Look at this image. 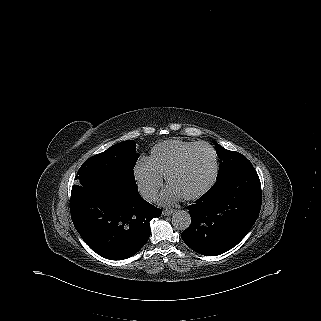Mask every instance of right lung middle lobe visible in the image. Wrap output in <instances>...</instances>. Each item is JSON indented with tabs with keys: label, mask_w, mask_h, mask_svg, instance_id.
Listing matches in <instances>:
<instances>
[{
	"label": "right lung middle lobe",
	"mask_w": 321,
	"mask_h": 321,
	"mask_svg": "<svg viewBox=\"0 0 321 321\" xmlns=\"http://www.w3.org/2000/svg\"><path fill=\"white\" fill-rule=\"evenodd\" d=\"M136 142L127 140L90 157L77 172L71 195L84 191L117 192L128 195L137 191L134 167L139 157Z\"/></svg>",
	"instance_id": "dd1d6c3e"
}]
</instances>
